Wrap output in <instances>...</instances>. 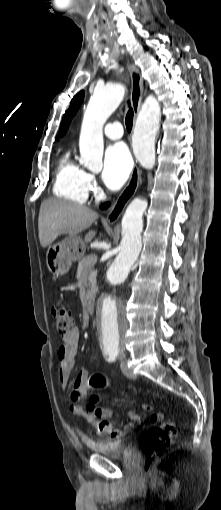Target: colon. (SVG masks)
Masks as SVG:
<instances>
[{
  "instance_id": "obj_1",
  "label": "colon",
  "mask_w": 221,
  "mask_h": 510,
  "mask_svg": "<svg viewBox=\"0 0 221 510\" xmlns=\"http://www.w3.org/2000/svg\"><path fill=\"white\" fill-rule=\"evenodd\" d=\"M51 312L58 332L65 336L73 328V313L63 305H54ZM107 385V379L101 373H93L88 378V386L91 389L100 390L107 387ZM98 401L99 396L92 395L90 397L89 405L86 407V418L98 430H102L105 427L106 418L111 416L112 411L104 408H94V404ZM161 419L162 415L160 413L152 414L149 418L151 423H156ZM176 435L177 427L174 422H165L149 431L144 442V468L146 473L151 472L154 461L171 445Z\"/></svg>"
}]
</instances>
